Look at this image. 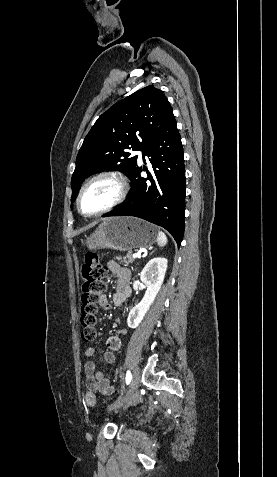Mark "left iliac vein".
<instances>
[{"instance_id": "1", "label": "left iliac vein", "mask_w": 277, "mask_h": 477, "mask_svg": "<svg viewBox=\"0 0 277 477\" xmlns=\"http://www.w3.org/2000/svg\"><path fill=\"white\" fill-rule=\"evenodd\" d=\"M139 382H140V368L135 367L133 375H132V380H131V385H130L129 390L126 392V394L123 397L118 399L114 404H112L109 407V411L117 410L120 407H122L123 405H125L132 398V396L135 394V392L138 388Z\"/></svg>"}]
</instances>
